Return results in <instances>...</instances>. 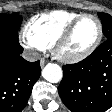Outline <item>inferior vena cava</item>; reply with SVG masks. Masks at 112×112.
Masks as SVG:
<instances>
[{
  "label": "inferior vena cava",
  "instance_id": "obj_1",
  "mask_svg": "<svg viewBox=\"0 0 112 112\" xmlns=\"http://www.w3.org/2000/svg\"><path fill=\"white\" fill-rule=\"evenodd\" d=\"M22 57L30 62L37 61L40 58V54L33 50L24 51Z\"/></svg>",
  "mask_w": 112,
  "mask_h": 112
}]
</instances>
